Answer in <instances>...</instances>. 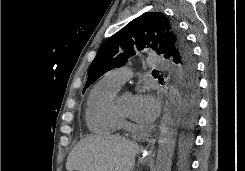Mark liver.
<instances>
[{
  "label": "liver",
  "instance_id": "6515ba94",
  "mask_svg": "<svg viewBox=\"0 0 245 171\" xmlns=\"http://www.w3.org/2000/svg\"><path fill=\"white\" fill-rule=\"evenodd\" d=\"M139 145L120 136H88L67 158V171H132Z\"/></svg>",
  "mask_w": 245,
  "mask_h": 171
}]
</instances>
